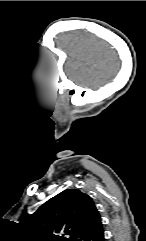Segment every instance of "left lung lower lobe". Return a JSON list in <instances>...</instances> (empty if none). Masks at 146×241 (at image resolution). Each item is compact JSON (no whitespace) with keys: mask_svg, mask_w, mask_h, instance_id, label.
Wrapping results in <instances>:
<instances>
[{"mask_svg":"<svg viewBox=\"0 0 146 241\" xmlns=\"http://www.w3.org/2000/svg\"><path fill=\"white\" fill-rule=\"evenodd\" d=\"M79 240L83 241H104V230L101 220L89 230L85 231Z\"/></svg>","mask_w":146,"mask_h":241,"instance_id":"1","label":"left lung lower lobe"}]
</instances>
